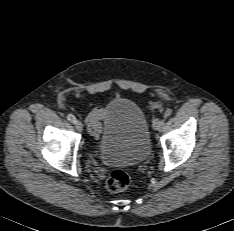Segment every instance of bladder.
Masks as SVG:
<instances>
[{"instance_id": "bladder-1", "label": "bladder", "mask_w": 234, "mask_h": 231, "mask_svg": "<svg viewBox=\"0 0 234 231\" xmlns=\"http://www.w3.org/2000/svg\"><path fill=\"white\" fill-rule=\"evenodd\" d=\"M100 137L101 161L108 166L139 165L151 153L145 113L128 98H118L108 106Z\"/></svg>"}]
</instances>
